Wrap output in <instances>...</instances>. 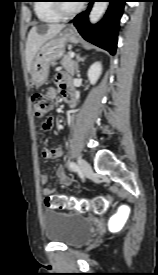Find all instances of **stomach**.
I'll use <instances>...</instances> for the list:
<instances>
[{"label": "stomach", "instance_id": "1", "mask_svg": "<svg viewBox=\"0 0 158 275\" xmlns=\"http://www.w3.org/2000/svg\"><path fill=\"white\" fill-rule=\"evenodd\" d=\"M78 42L79 37L72 28H66L57 36L45 42L31 64L30 73L34 85L39 87L46 81L50 66L64 56L67 43L77 44Z\"/></svg>", "mask_w": 158, "mask_h": 275}]
</instances>
